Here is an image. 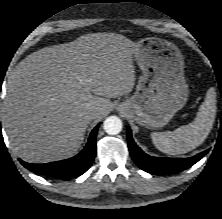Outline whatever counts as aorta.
<instances>
[{
	"instance_id": "1",
	"label": "aorta",
	"mask_w": 222,
	"mask_h": 219,
	"mask_svg": "<svg viewBox=\"0 0 222 219\" xmlns=\"http://www.w3.org/2000/svg\"><path fill=\"white\" fill-rule=\"evenodd\" d=\"M104 130L109 135H116L122 130V121L116 116H110L104 121Z\"/></svg>"
}]
</instances>
